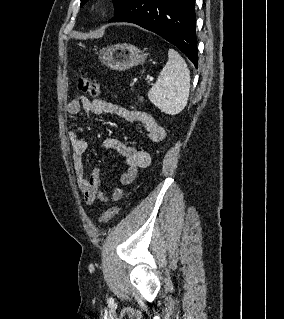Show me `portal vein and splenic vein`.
<instances>
[{
    "instance_id": "1",
    "label": "portal vein and splenic vein",
    "mask_w": 284,
    "mask_h": 319,
    "mask_svg": "<svg viewBox=\"0 0 284 319\" xmlns=\"http://www.w3.org/2000/svg\"><path fill=\"white\" fill-rule=\"evenodd\" d=\"M149 81H153V78H152V77H150V78H149Z\"/></svg>"
}]
</instances>
